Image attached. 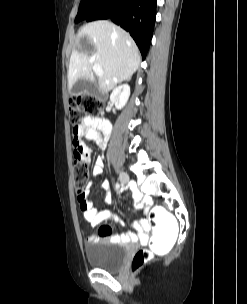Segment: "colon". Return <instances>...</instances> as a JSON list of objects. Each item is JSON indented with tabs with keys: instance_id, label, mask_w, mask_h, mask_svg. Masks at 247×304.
Returning a JSON list of instances; mask_svg holds the SVG:
<instances>
[{
	"instance_id": "obj_1",
	"label": "colon",
	"mask_w": 247,
	"mask_h": 304,
	"mask_svg": "<svg viewBox=\"0 0 247 304\" xmlns=\"http://www.w3.org/2000/svg\"><path fill=\"white\" fill-rule=\"evenodd\" d=\"M103 108V100L94 94L76 96L69 102V120L77 130L80 123L86 117L100 115ZM89 168L87 162H74L73 158V181L79 199H82L88 186ZM151 218L149 225L151 236L148 237L146 249L138 250L132 258L131 270L138 271L151 257V253H170L177 240L178 221L175 214H169L164 206H153L149 210Z\"/></svg>"
}]
</instances>
